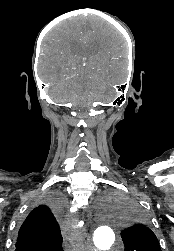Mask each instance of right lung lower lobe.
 Returning a JSON list of instances; mask_svg holds the SVG:
<instances>
[{"mask_svg":"<svg viewBox=\"0 0 174 251\" xmlns=\"http://www.w3.org/2000/svg\"><path fill=\"white\" fill-rule=\"evenodd\" d=\"M35 249H32L31 247L25 246V245H21L15 248V251H32Z\"/></svg>","mask_w":174,"mask_h":251,"instance_id":"1","label":"right lung lower lobe"}]
</instances>
